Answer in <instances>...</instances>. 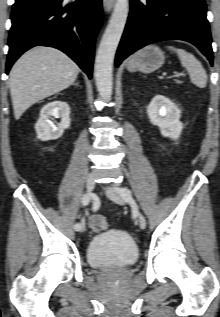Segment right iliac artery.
Wrapping results in <instances>:
<instances>
[{"label":"right iliac artery","instance_id":"obj_1","mask_svg":"<svg viewBox=\"0 0 220 317\" xmlns=\"http://www.w3.org/2000/svg\"><path fill=\"white\" fill-rule=\"evenodd\" d=\"M89 202H90V196L88 194L83 195V197H82V205L86 206V205L89 204ZM80 228H81V223L75 224L74 229L76 231H79Z\"/></svg>","mask_w":220,"mask_h":317}]
</instances>
